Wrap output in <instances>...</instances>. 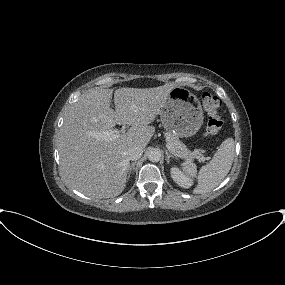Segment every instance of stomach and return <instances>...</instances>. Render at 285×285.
<instances>
[{
	"label": "stomach",
	"mask_w": 285,
	"mask_h": 285,
	"mask_svg": "<svg viewBox=\"0 0 285 285\" xmlns=\"http://www.w3.org/2000/svg\"><path fill=\"white\" fill-rule=\"evenodd\" d=\"M203 111L198 98L188 89L176 86L160 110L166 131L177 137L195 135L203 123Z\"/></svg>",
	"instance_id": "obj_1"
}]
</instances>
